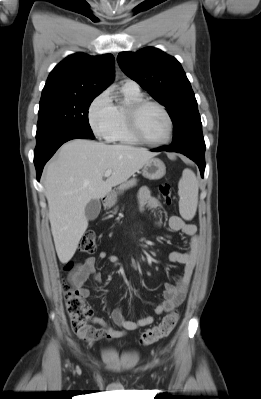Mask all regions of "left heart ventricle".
Returning a JSON list of instances; mask_svg holds the SVG:
<instances>
[{
	"label": "left heart ventricle",
	"instance_id": "left-heart-ventricle-1",
	"mask_svg": "<svg viewBox=\"0 0 261 399\" xmlns=\"http://www.w3.org/2000/svg\"><path fill=\"white\" fill-rule=\"evenodd\" d=\"M139 125L142 133L150 140L161 141L168 135L167 119L155 106H147L140 112Z\"/></svg>",
	"mask_w": 261,
	"mask_h": 399
}]
</instances>
